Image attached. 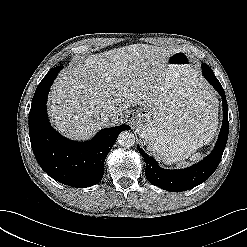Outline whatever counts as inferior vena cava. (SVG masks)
<instances>
[{
  "label": "inferior vena cava",
  "mask_w": 247,
  "mask_h": 247,
  "mask_svg": "<svg viewBox=\"0 0 247 247\" xmlns=\"http://www.w3.org/2000/svg\"><path fill=\"white\" fill-rule=\"evenodd\" d=\"M120 115L119 111L114 106H108L102 113L101 116L105 120L118 118Z\"/></svg>",
  "instance_id": "1"
}]
</instances>
